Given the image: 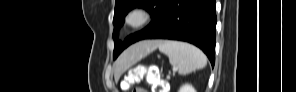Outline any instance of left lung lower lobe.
<instances>
[{
  "instance_id": "1",
  "label": "left lung lower lobe",
  "mask_w": 296,
  "mask_h": 92,
  "mask_svg": "<svg viewBox=\"0 0 296 92\" xmlns=\"http://www.w3.org/2000/svg\"><path fill=\"white\" fill-rule=\"evenodd\" d=\"M215 0H170L161 26L144 39H172L192 43L215 62Z\"/></svg>"
}]
</instances>
